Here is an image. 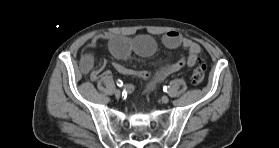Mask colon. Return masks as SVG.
Masks as SVG:
<instances>
[{
  "instance_id": "colon-1",
  "label": "colon",
  "mask_w": 279,
  "mask_h": 148,
  "mask_svg": "<svg viewBox=\"0 0 279 148\" xmlns=\"http://www.w3.org/2000/svg\"><path fill=\"white\" fill-rule=\"evenodd\" d=\"M206 74V65L203 61H199L191 74V82L193 85H199L204 81Z\"/></svg>"
}]
</instances>
